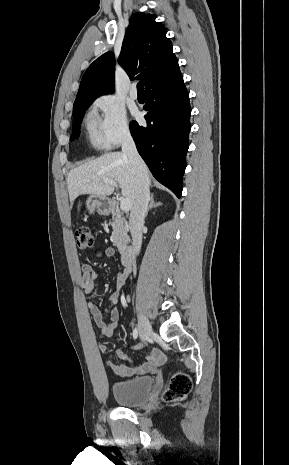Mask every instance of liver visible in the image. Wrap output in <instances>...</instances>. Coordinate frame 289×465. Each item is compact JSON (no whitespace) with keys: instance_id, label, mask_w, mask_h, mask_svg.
I'll return each instance as SVG.
<instances>
[{"instance_id":"1","label":"liver","mask_w":289,"mask_h":465,"mask_svg":"<svg viewBox=\"0 0 289 465\" xmlns=\"http://www.w3.org/2000/svg\"><path fill=\"white\" fill-rule=\"evenodd\" d=\"M144 176L151 184V175L145 168ZM112 180L121 187L122 195L131 202V210L137 199V178L131 170L128 157L122 152H111L72 169L67 178L70 202L81 194L109 196L114 186L103 180Z\"/></svg>"}]
</instances>
